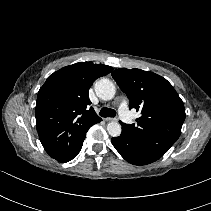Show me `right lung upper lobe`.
Listing matches in <instances>:
<instances>
[{
    "label": "right lung upper lobe",
    "mask_w": 211,
    "mask_h": 211,
    "mask_svg": "<svg viewBox=\"0 0 211 211\" xmlns=\"http://www.w3.org/2000/svg\"><path fill=\"white\" fill-rule=\"evenodd\" d=\"M113 70L92 62H79L51 74L38 92L36 127L45 151L54 159L70 152L79 134L101 118L89 107L93 82Z\"/></svg>",
    "instance_id": "1"
}]
</instances>
